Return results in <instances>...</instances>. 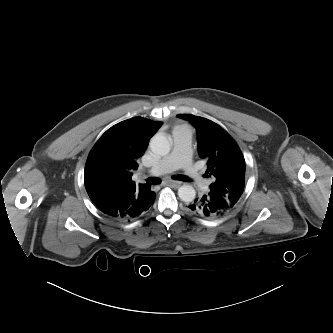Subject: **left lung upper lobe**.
Wrapping results in <instances>:
<instances>
[{"instance_id":"left-lung-upper-lobe-1","label":"left lung upper lobe","mask_w":333,"mask_h":333,"mask_svg":"<svg viewBox=\"0 0 333 333\" xmlns=\"http://www.w3.org/2000/svg\"><path fill=\"white\" fill-rule=\"evenodd\" d=\"M197 130L198 152L207 161L212 177L210 192L224 197L234 207L245 187V160L236 142L218 124L191 114H178Z\"/></svg>"}]
</instances>
